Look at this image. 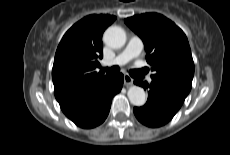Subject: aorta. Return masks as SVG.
Masks as SVG:
<instances>
[{"mask_svg": "<svg viewBox=\"0 0 230 155\" xmlns=\"http://www.w3.org/2000/svg\"><path fill=\"white\" fill-rule=\"evenodd\" d=\"M103 40L107 46L118 49L124 46L126 33L121 27L111 26L104 32ZM127 95L134 106H142L146 103L147 95L144 89L139 86H131Z\"/></svg>", "mask_w": 230, "mask_h": 155, "instance_id": "obj_1", "label": "aorta"}]
</instances>
